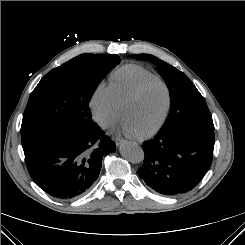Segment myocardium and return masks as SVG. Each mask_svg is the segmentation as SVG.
<instances>
[{
	"label": "myocardium",
	"mask_w": 245,
	"mask_h": 245,
	"mask_svg": "<svg viewBox=\"0 0 245 245\" xmlns=\"http://www.w3.org/2000/svg\"><path fill=\"white\" fill-rule=\"evenodd\" d=\"M153 82H157L163 86L165 93H166V104H165L163 114H162L160 120L157 122V124L154 127H152L150 130H148L144 133H141V134H137V137L140 139L148 138V137L154 135L164 125V123H165V121L169 115L170 108H171V91H170L168 84L163 79L159 78L158 76L147 78V79L143 80L141 83H139L135 87V89L131 93H129L119 104V111L121 113L123 107L126 104L135 100L142 93V91L145 89V87L147 85H149L150 83H153Z\"/></svg>",
	"instance_id": "f54148a6"
}]
</instances>
